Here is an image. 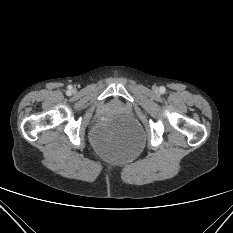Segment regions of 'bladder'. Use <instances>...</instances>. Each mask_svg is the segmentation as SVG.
<instances>
[{
  "label": "bladder",
  "mask_w": 233,
  "mask_h": 233,
  "mask_svg": "<svg viewBox=\"0 0 233 233\" xmlns=\"http://www.w3.org/2000/svg\"><path fill=\"white\" fill-rule=\"evenodd\" d=\"M95 144L98 150L101 153L106 155H116L118 153H127L128 155H133L136 153L137 148L134 147H121L111 144L109 141L102 139L101 137H97L95 139Z\"/></svg>",
  "instance_id": "31cf9c89"
}]
</instances>
